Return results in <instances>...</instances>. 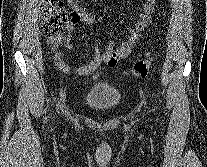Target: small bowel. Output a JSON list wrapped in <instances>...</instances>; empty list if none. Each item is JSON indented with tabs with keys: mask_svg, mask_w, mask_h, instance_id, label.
I'll use <instances>...</instances> for the list:
<instances>
[{
	"mask_svg": "<svg viewBox=\"0 0 207 167\" xmlns=\"http://www.w3.org/2000/svg\"><path fill=\"white\" fill-rule=\"evenodd\" d=\"M67 2L73 12V16L68 25L69 31H72L80 25H90L96 22L97 19L95 15L88 12L81 4L80 0H67ZM155 3L156 0H142L137 12L138 19L129 28V33L121 46L118 49H115L113 42L109 41L105 50L101 52L98 45L95 44L93 58L90 63L86 65L73 68L63 62L62 52L58 50V47L61 44H64L66 49L71 50L73 48V43L71 37L65 39L62 36L59 42L51 44L53 52L52 58L56 67L63 73L97 78L106 70V68L114 67L119 60L126 58L130 54L132 48L138 42L139 37L151 22L155 10ZM101 64H104L105 66L100 68Z\"/></svg>",
	"mask_w": 207,
	"mask_h": 167,
	"instance_id": "1",
	"label": "small bowel"
}]
</instances>
